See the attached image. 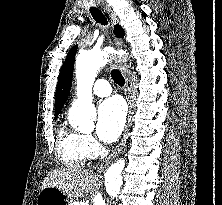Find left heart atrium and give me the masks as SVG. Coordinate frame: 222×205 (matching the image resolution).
Instances as JSON below:
<instances>
[{
	"instance_id": "39dd6f15",
	"label": "left heart atrium",
	"mask_w": 222,
	"mask_h": 205,
	"mask_svg": "<svg viewBox=\"0 0 222 205\" xmlns=\"http://www.w3.org/2000/svg\"><path fill=\"white\" fill-rule=\"evenodd\" d=\"M126 122V108L118 97L105 100L98 108L97 135L105 142H114Z\"/></svg>"
}]
</instances>
